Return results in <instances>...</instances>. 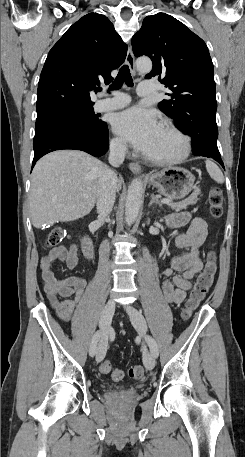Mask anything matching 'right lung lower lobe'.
Instances as JSON below:
<instances>
[{"mask_svg": "<svg viewBox=\"0 0 245 457\" xmlns=\"http://www.w3.org/2000/svg\"><path fill=\"white\" fill-rule=\"evenodd\" d=\"M108 147L107 124L99 119L95 127L70 120L48 121L35 126L32 168L42 156L55 150H82L99 157Z\"/></svg>", "mask_w": 245, "mask_h": 457, "instance_id": "1", "label": "right lung lower lobe"}]
</instances>
